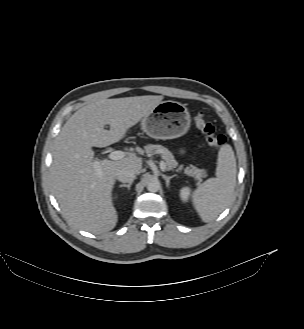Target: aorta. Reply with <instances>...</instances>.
Returning <instances> with one entry per match:
<instances>
[{
	"label": "aorta",
	"mask_w": 304,
	"mask_h": 329,
	"mask_svg": "<svg viewBox=\"0 0 304 329\" xmlns=\"http://www.w3.org/2000/svg\"><path fill=\"white\" fill-rule=\"evenodd\" d=\"M160 189V182L152 179L147 183V190L150 192H157Z\"/></svg>",
	"instance_id": "1"
}]
</instances>
